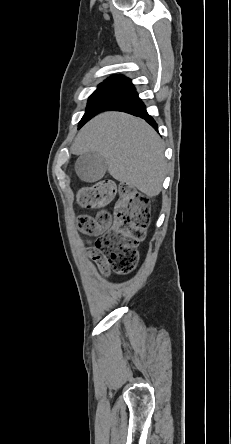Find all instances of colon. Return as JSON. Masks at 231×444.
<instances>
[{
    "label": "colon",
    "instance_id": "obj_1",
    "mask_svg": "<svg viewBox=\"0 0 231 444\" xmlns=\"http://www.w3.org/2000/svg\"><path fill=\"white\" fill-rule=\"evenodd\" d=\"M116 195V186L110 180L100 181L82 188L77 195L78 203L85 208H102ZM150 220L148 198L133 188L125 187L115 207L114 217L107 211L94 216L80 215L78 227L89 236H98L96 251L109 271L128 274L137 265V246L145 239Z\"/></svg>",
    "mask_w": 231,
    "mask_h": 444
}]
</instances>
